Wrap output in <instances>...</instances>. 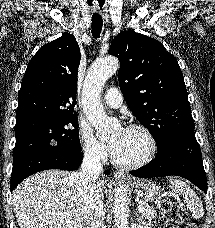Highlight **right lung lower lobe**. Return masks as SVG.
I'll list each match as a JSON object with an SVG mask.
<instances>
[{
	"label": "right lung lower lobe",
	"instance_id": "obj_1",
	"mask_svg": "<svg viewBox=\"0 0 215 228\" xmlns=\"http://www.w3.org/2000/svg\"><path fill=\"white\" fill-rule=\"evenodd\" d=\"M83 159L81 151L60 148H39L13 158L11 192L26 177L47 169L76 170ZM109 174V171H105Z\"/></svg>",
	"mask_w": 215,
	"mask_h": 228
}]
</instances>
